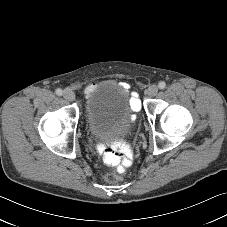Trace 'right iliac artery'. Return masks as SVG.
Listing matches in <instances>:
<instances>
[{"instance_id": "right-iliac-artery-1", "label": "right iliac artery", "mask_w": 227, "mask_h": 227, "mask_svg": "<svg viewBox=\"0 0 227 227\" xmlns=\"http://www.w3.org/2000/svg\"><path fill=\"white\" fill-rule=\"evenodd\" d=\"M55 93L58 95V96H61L63 94V91L61 89H57L55 91Z\"/></svg>"}]
</instances>
